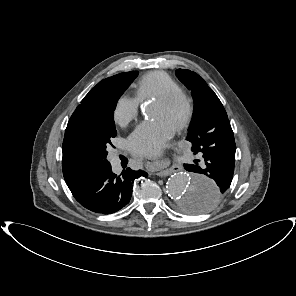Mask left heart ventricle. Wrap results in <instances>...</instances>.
<instances>
[{
  "label": "left heart ventricle",
  "instance_id": "b2bd125f",
  "mask_svg": "<svg viewBox=\"0 0 296 296\" xmlns=\"http://www.w3.org/2000/svg\"><path fill=\"white\" fill-rule=\"evenodd\" d=\"M183 113V107L180 104L162 105L153 102L148 110L151 118H160L168 123L171 127H175Z\"/></svg>",
  "mask_w": 296,
  "mask_h": 296
}]
</instances>
